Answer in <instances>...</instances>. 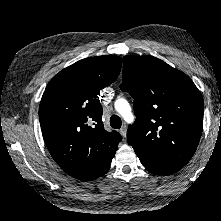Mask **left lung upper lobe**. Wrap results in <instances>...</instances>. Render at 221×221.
Masks as SVG:
<instances>
[{
	"mask_svg": "<svg viewBox=\"0 0 221 221\" xmlns=\"http://www.w3.org/2000/svg\"><path fill=\"white\" fill-rule=\"evenodd\" d=\"M120 88L134 98L127 130L136 153L185 166L203 130V100L193 81L153 56H125Z\"/></svg>",
	"mask_w": 221,
	"mask_h": 221,
	"instance_id": "1",
	"label": "left lung upper lobe"
}]
</instances>
